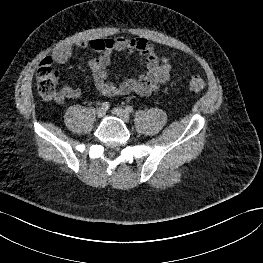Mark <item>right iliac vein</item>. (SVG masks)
I'll return each mask as SVG.
<instances>
[{
  "mask_svg": "<svg viewBox=\"0 0 263 263\" xmlns=\"http://www.w3.org/2000/svg\"><path fill=\"white\" fill-rule=\"evenodd\" d=\"M106 113V110L103 107L97 109L96 114L99 118H102Z\"/></svg>",
  "mask_w": 263,
  "mask_h": 263,
  "instance_id": "63e3f726",
  "label": "right iliac vein"
}]
</instances>
